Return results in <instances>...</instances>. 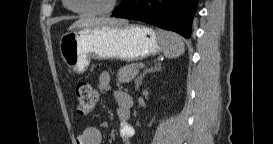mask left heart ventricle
Masks as SVG:
<instances>
[{"label":"left heart ventricle","mask_w":273,"mask_h":144,"mask_svg":"<svg viewBox=\"0 0 273 144\" xmlns=\"http://www.w3.org/2000/svg\"><path fill=\"white\" fill-rule=\"evenodd\" d=\"M111 0H73V5L79 10H98L108 5Z\"/></svg>","instance_id":"1"}]
</instances>
